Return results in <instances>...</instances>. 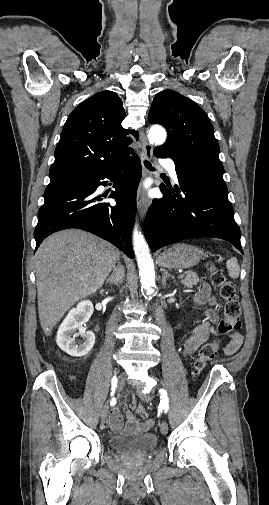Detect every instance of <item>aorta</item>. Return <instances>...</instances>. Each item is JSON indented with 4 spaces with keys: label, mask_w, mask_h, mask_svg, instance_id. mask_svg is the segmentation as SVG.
Instances as JSON below:
<instances>
[{
    "label": "aorta",
    "mask_w": 269,
    "mask_h": 505,
    "mask_svg": "<svg viewBox=\"0 0 269 505\" xmlns=\"http://www.w3.org/2000/svg\"><path fill=\"white\" fill-rule=\"evenodd\" d=\"M166 138L167 133L162 126L153 125L148 132L149 141L155 145L164 144ZM133 249L137 258L141 288L147 296H151L154 293L155 287L154 262L149 246L141 232L138 231L137 224L133 230Z\"/></svg>",
    "instance_id": "1"
}]
</instances>
